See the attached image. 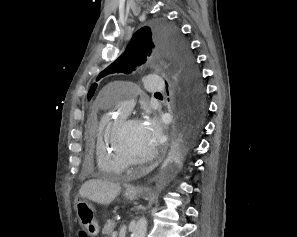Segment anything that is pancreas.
Segmentation results:
<instances>
[{"label":"pancreas","mask_w":297,"mask_h":237,"mask_svg":"<svg viewBox=\"0 0 297 237\" xmlns=\"http://www.w3.org/2000/svg\"><path fill=\"white\" fill-rule=\"evenodd\" d=\"M115 228V220H107L106 224L102 229V234L111 236Z\"/></svg>","instance_id":"pancreas-1"}]
</instances>
